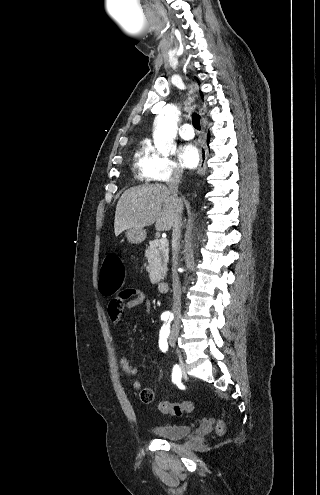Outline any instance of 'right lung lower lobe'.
Here are the masks:
<instances>
[{
	"mask_svg": "<svg viewBox=\"0 0 320 495\" xmlns=\"http://www.w3.org/2000/svg\"><path fill=\"white\" fill-rule=\"evenodd\" d=\"M209 139H210V136L208 135V139H207L208 140V143H209Z\"/></svg>",
	"mask_w": 320,
	"mask_h": 495,
	"instance_id": "obj_1",
	"label": "right lung lower lobe"
}]
</instances>
